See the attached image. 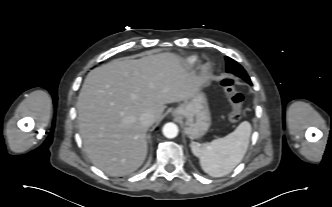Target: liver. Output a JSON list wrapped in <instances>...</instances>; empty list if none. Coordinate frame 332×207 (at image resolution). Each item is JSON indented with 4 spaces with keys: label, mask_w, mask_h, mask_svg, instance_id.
I'll return each instance as SVG.
<instances>
[{
    "label": "liver",
    "mask_w": 332,
    "mask_h": 207,
    "mask_svg": "<svg viewBox=\"0 0 332 207\" xmlns=\"http://www.w3.org/2000/svg\"><path fill=\"white\" fill-rule=\"evenodd\" d=\"M202 80L173 53L120 58L92 70L77 103L79 132L92 163L111 176L137 170L147 155L143 113L161 119L165 104L187 101Z\"/></svg>",
    "instance_id": "liver-1"
}]
</instances>
